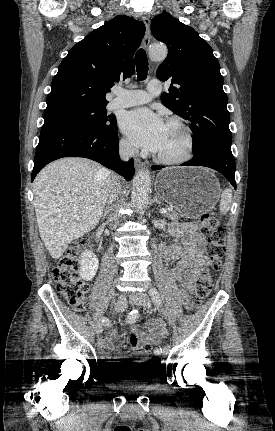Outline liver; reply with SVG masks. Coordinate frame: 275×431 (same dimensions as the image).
Masks as SVG:
<instances>
[{
	"mask_svg": "<svg viewBox=\"0 0 275 431\" xmlns=\"http://www.w3.org/2000/svg\"><path fill=\"white\" fill-rule=\"evenodd\" d=\"M110 171L79 157L59 159L36 176L34 207L40 237L53 259L99 223Z\"/></svg>",
	"mask_w": 275,
	"mask_h": 431,
	"instance_id": "liver-1",
	"label": "liver"
}]
</instances>
